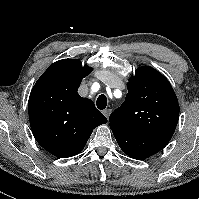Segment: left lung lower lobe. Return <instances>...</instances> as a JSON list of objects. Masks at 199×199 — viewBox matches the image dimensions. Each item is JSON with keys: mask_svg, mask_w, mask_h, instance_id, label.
I'll list each match as a JSON object with an SVG mask.
<instances>
[{"mask_svg": "<svg viewBox=\"0 0 199 199\" xmlns=\"http://www.w3.org/2000/svg\"><path fill=\"white\" fill-rule=\"evenodd\" d=\"M112 131L123 152L134 159L148 158L166 146L163 142L121 128H113Z\"/></svg>", "mask_w": 199, "mask_h": 199, "instance_id": "1", "label": "left lung lower lobe"}]
</instances>
